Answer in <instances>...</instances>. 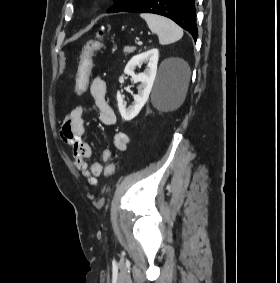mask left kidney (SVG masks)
Listing matches in <instances>:
<instances>
[{
  "instance_id": "5707ae66",
  "label": "left kidney",
  "mask_w": 280,
  "mask_h": 283,
  "mask_svg": "<svg viewBox=\"0 0 280 283\" xmlns=\"http://www.w3.org/2000/svg\"><path fill=\"white\" fill-rule=\"evenodd\" d=\"M159 59L158 49H151L139 55L132 57L127 63L124 74L132 77L134 83L140 82L138 94L134 95V102L131 106L124 105L120 91L117 92L118 109L122 118L126 121L132 120L138 115L144 104L147 102L157 73V64ZM147 63V68L143 73L135 74L136 66ZM121 84L124 83V75L119 78Z\"/></svg>"
}]
</instances>
